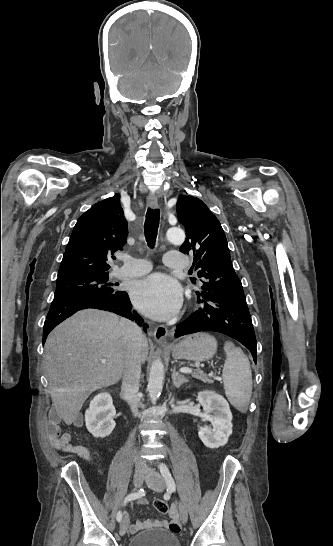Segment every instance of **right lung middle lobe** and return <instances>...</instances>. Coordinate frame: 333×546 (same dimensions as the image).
<instances>
[{
  "label": "right lung middle lobe",
  "mask_w": 333,
  "mask_h": 546,
  "mask_svg": "<svg viewBox=\"0 0 333 546\" xmlns=\"http://www.w3.org/2000/svg\"><path fill=\"white\" fill-rule=\"evenodd\" d=\"M116 291L108 283V273L81 274L57 279L54 298L80 294L112 295Z\"/></svg>",
  "instance_id": "dd1d6c3e"
}]
</instances>
